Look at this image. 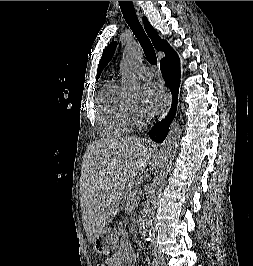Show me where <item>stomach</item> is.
<instances>
[{
	"instance_id": "obj_1",
	"label": "stomach",
	"mask_w": 253,
	"mask_h": 266,
	"mask_svg": "<svg viewBox=\"0 0 253 266\" xmlns=\"http://www.w3.org/2000/svg\"><path fill=\"white\" fill-rule=\"evenodd\" d=\"M118 239V232L113 227H106L93 243V250L98 255H107L112 252Z\"/></svg>"
}]
</instances>
